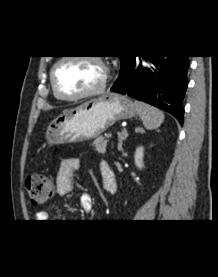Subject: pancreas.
I'll return each mask as SVG.
<instances>
[{
    "label": "pancreas",
    "mask_w": 218,
    "mask_h": 277,
    "mask_svg": "<svg viewBox=\"0 0 218 277\" xmlns=\"http://www.w3.org/2000/svg\"><path fill=\"white\" fill-rule=\"evenodd\" d=\"M108 140H106L104 137L99 136L93 141V146L95 147V150L100 153L104 154L106 152Z\"/></svg>",
    "instance_id": "cf45deb5"
}]
</instances>
